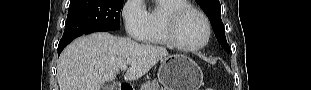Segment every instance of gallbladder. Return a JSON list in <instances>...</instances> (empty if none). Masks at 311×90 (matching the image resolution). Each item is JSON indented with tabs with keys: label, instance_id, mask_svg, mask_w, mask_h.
<instances>
[{
	"label": "gallbladder",
	"instance_id": "1",
	"mask_svg": "<svg viewBox=\"0 0 311 90\" xmlns=\"http://www.w3.org/2000/svg\"><path fill=\"white\" fill-rule=\"evenodd\" d=\"M103 90H113L115 87L114 85H111V84H105L103 85Z\"/></svg>",
	"mask_w": 311,
	"mask_h": 90
}]
</instances>
